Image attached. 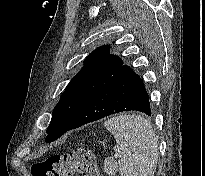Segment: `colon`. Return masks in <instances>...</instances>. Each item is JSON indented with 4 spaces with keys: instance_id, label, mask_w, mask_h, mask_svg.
<instances>
[{
    "instance_id": "1",
    "label": "colon",
    "mask_w": 205,
    "mask_h": 176,
    "mask_svg": "<svg viewBox=\"0 0 205 176\" xmlns=\"http://www.w3.org/2000/svg\"><path fill=\"white\" fill-rule=\"evenodd\" d=\"M32 176H101L93 152L86 148L64 154H54L31 166Z\"/></svg>"
}]
</instances>
